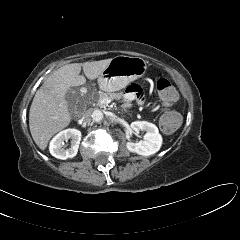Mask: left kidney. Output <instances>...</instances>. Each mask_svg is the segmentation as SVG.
Listing matches in <instances>:
<instances>
[{"label":"left kidney","mask_w":240,"mask_h":240,"mask_svg":"<svg viewBox=\"0 0 240 240\" xmlns=\"http://www.w3.org/2000/svg\"><path fill=\"white\" fill-rule=\"evenodd\" d=\"M135 132L145 131L143 140L139 142H127L126 147L130 152L142 156H150L159 151L162 145V137L156 125L147 121H135L131 123Z\"/></svg>","instance_id":"5707ae66"}]
</instances>
